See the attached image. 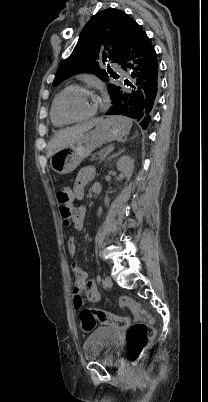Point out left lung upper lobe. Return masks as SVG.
Returning a JSON list of instances; mask_svg holds the SVG:
<instances>
[{"instance_id": "left-lung-upper-lobe-1", "label": "left lung upper lobe", "mask_w": 208, "mask_h": 402, "mask_svg": "<svg viewBox=\"0 0 208 402\" xmlns=\"http://www.w3.org/2000/svg\"><path fill=\"white\" fill-rule=\"evenodd\" d=\"M134 22L126 13L114 8L95 14L82 29L72 54L59 66L53 85L56 86L80 72H90L103 81H108L107 72L100 66L108 61L119 64ZM108 72L110 74L109 65ZM115 87L108 85L110 95Z\"/></svg>"}]
</instances>
